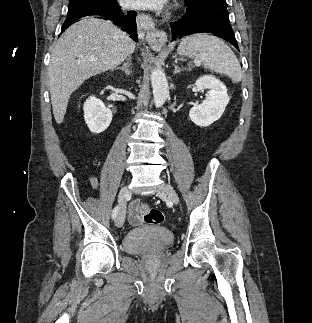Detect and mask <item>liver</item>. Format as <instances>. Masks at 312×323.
Masks as SVG:
<instances>
[{
    "mask_svg": "<svg viewBox=\"0 0 312 323\" xmlns=\"http://www.w3.org/2000/svg\"><path fill=\"white\" fill-rule=\"evenodd\" d=\"M130 54L127 34L109 20L85 16L67 28L52 46L48 66L51 104L57 124H62L75 90L91 76L115 70Z\"/></svg>",
    "mask_w": 312,
    "mask_h": 323,
    "instance_id": "1",
    "label": "liver"
}]
</instances>
